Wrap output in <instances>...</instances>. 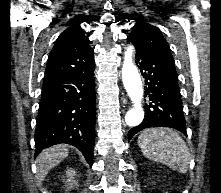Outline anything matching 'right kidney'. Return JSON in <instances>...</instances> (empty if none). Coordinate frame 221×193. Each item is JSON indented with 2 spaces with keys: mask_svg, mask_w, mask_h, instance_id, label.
Here are the masks:
<instances>
[{
  "mask_svg": "<svg viewBox=\"0 0 221 193\" xmlns=\"http://www.w3.org/2000/svg\"><path fill=\"white\" fill-rule=\"evenodd\" d=\"M76 171L73 170L72 168H67L66 171V187L67 189L73 188L74 185H77V182L75 181V176H76Z\"/></svg>",
  "mask_w": 221,
  "mask_h": 193,
  "instance_id": "ca27d5eb",
  "label": "right kidney"
}]
</instances>
